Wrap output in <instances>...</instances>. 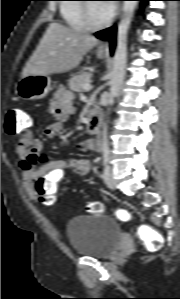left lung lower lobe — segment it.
<instances>
[{
    "mask_svg": "<svg viewBox=\"0 0 180 299\" xmlns=\"http://www.w3.org/2000/svg\"><path fill=\"white\" fill-rule=\"evenodd\" d=\"M136 1L147 2L150 0H136ZM115 33H116V27L114 26L95 33V36L100 39L109 40L111 52H113L114 45H115Z\"/></svg>",
    "mask_w": 180,
    "mask_h": 299,
    "instance_id": "1",
    "label": "left lung lower lobe"
}]
</instances>
